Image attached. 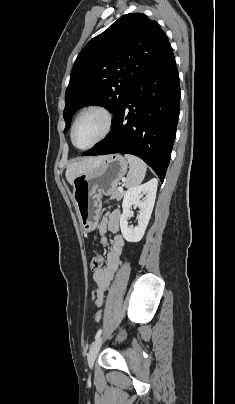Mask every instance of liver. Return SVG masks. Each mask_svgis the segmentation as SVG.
<instances>
[{
    "label": "liver",
    "instance_id": "liver-1",
    "mask_svg": "<svg viewBox=\"0 0 235 404\" xmlns=\"http://www.w3.org/2000/svg\"><path fill=\"white\" fill-rule=\"evenodd\" d=\"M105 157L106 156L84 158L68 165L65 173L68 183L72 185L74 178L97 166Z\"/></svg>",
    "mask_w": 235,
    "mask_h": 404
}]
</instances>
